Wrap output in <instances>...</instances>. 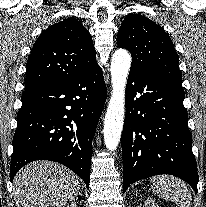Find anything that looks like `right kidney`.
<instances>
[{
	"label": "right kidney",
	"mask_w": 206,
	"mask_h": 207,
	"mask_svg": "<svg viewBox=\"0 0 206 207\" xmlns=\"http://www.w3.org/2000/svg\"><path fill=\"white\" fill-rule=\"evenodd\" d=\"M66 207H77L75 202H72L71 204L67 205Z\"/></svg>",
	"instance_id": "obj_1"
}]
</instances>
